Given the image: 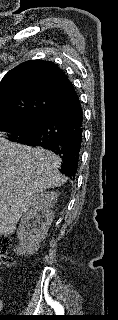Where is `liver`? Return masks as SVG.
<instances>
[{
  "instance_id": "6515ba94",
  "label": "liver",
  "mask_w": 118,
  "mask_h": 320,
  "mask_svg": "<svg viewBox=\"0 0 118 320\" xmlns=\"http://www.w3.org/2000/svg\"><path fill=\"white\" fill-rule=\"evenodd\" d=\"M0 134V227L13 226L35 198L67 178L53 152L11 142Z\"/></svg>"
}]
</instances>
